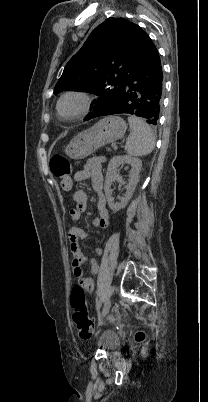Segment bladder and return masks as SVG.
<instances>
[{"label": "bladder", "mask_w": 208, "mask_h": 402, "mask_svg": "<svg viewBox=\"0 0 208 402\" xmlns=\"http://www.w3.org/2000/svg\"><path fill=\"white\" fill-rule=\"evenodd\" d=\"M120 337L111 331H104L99 344L105 349H114L118 347Z\"/></svg>", "instance_id": "31cf9c89"}]
</instances>
